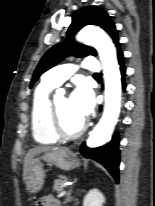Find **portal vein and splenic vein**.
<instances>
[{"label":"portal vein and splenic vein","mask_w":155,"mask_h":206,"mask_svg":"<svg viewBox=\"0 0 155 206\" xmlns=\"http://www.w3.org/2000/svg\"><path fill=\"white\" fill-rule=\"evenodd\" d=\"M66 194V191H61L60 193H58V198L63 197Z\"/></svg>","instance_id":"portal-vein-and-splenic-vein-1"}]
</instances>
